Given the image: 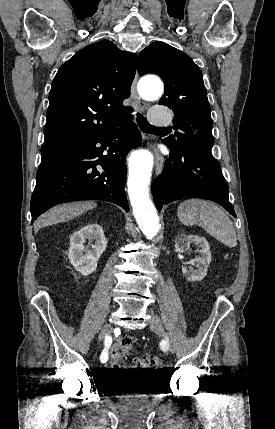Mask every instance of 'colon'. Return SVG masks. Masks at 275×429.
Here are the masks:
<instances>
[{
    "mask_svg": "<svg viewBox=\"0 0 275 429\" xmlns=\"http://www.w3.org/2000/svg\"><path fill=\"white\" fill-rule=\"evenodd\" d=\"M133 344V338L122 341L112 353V364L118 365L126 356ZM137 363L151 372L159 371L162 367L161 360L155 356L145 355L136 359Z\"/></svg>",
    "mask_w": 275,
    "mask_h": 429,
    "instance_id": "1",
    "label": "colon"
}]
</instances>
